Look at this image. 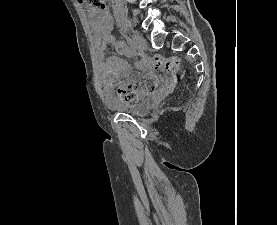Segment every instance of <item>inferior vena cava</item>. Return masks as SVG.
Masks as SVG:
<instances>
[{
  "label": "inferior vena cava",
  "instance_id": "obj_1",
  "mask_svg": "<svg viewBox=\"0 0 277 225\" xmlns=\"http://www.w3.org/2000/svg\"><path fill=\"white\" fill-rule=\"evenodd\" d=\"M115 8H120L122 6V0H112Z\"/></svg>",
  "mask_w": 277,
  "mask_h": 225
}]
</instances>
